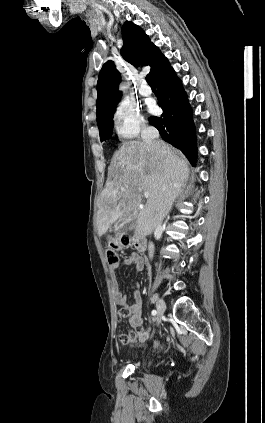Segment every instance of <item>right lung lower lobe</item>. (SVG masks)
I'll use <instances>...</instances> for the list:
<instances>
[{"label": "right lung lower lobe", "mask_w": 265, "mask_h": 423, "mask_svg": "<svg viewBox=\"0 0 265 423\" xmlns=\"http://www.w3.org/2000/svg\"><path fill=\"white\" fill-rule=\"evenodd\" d=\"M155 93L163 109L160 117L151 116L149 123L156 127L163 140L180 149L192 165L196 164V136L192 110L181 80L169 62L153 77Z\"/></svg>", "instance_id": "98d812e1"}]
</instances>
